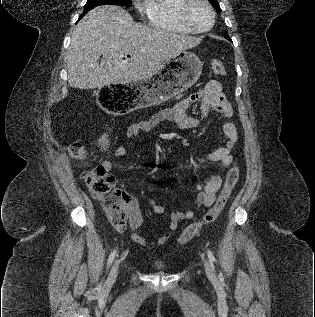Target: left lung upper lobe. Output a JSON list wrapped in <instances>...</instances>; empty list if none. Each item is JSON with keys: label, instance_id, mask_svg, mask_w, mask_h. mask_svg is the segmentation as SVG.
Wrapping results in <instances>:
<instances>
[{"label": "left lung upper lobe", "instance_id": "5c2ea615", "mask_svg": "<svg viewBox=\"0 0 315 317\" xmlns=\"http://www.w3.org/2000/svg\"><path fill=\"white\" fill-rule=\"evenodd\" d=\"M209 2L214 6L216 11L219 13L220 12V6H219V3L217 2V0H209ZM224 37H226L227 39H230V37L228 36L227 31L224 33ZM230 41H232V40L230 39Z\"/></svg>", "mask_w": 315, "mask_h": 317}]
</instances>
